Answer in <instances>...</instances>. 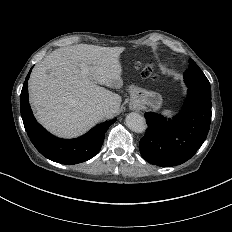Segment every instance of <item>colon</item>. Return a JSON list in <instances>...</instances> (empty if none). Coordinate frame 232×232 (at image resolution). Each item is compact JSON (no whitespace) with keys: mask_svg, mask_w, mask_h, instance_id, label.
Returning <instances> with one entry per match:
<instances>
[{"mask_svg":"<svg viewBox=\"0 0 232 232\" xmlns=\"http://www.w3.org/2000/svg\"><path fill=\"white\" fill-rule=\"evenodd\" d=\"M140 72L141 73H155V68H141ZM146 78L147 79H154L155 75L154 74H147Z\"/></svg>","mask_w":232,"mask_h":232,"instance_id":"colon-1","label":"colon"}]
</instances>
